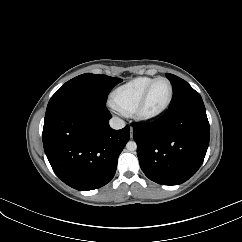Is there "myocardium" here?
Masks as SVG:
<instances>
[{
    "label": "myocardium",
    "mask_w": 242,
    "mask_h": 242,
    "mask_svg": "<svg viewBox=\"0 0 242 242\" xmlns=\"http://www.w3.org/2000/svg\"><path fill=\"white\" fill-rule=\"evenodd\" d=\"M160 80H164L168 83L169 88H170L169 97H168L166 103L161 108H159L158 110L153 111V112H146L145 111V105H146L149 93H150L152 87L154 86V84L157 81H160ZM173 96H174V88H173L172 82L168 78L163 77V76L156 77L149 83V85L144 90L140 99L136 103L132 114L138 120H142V121L154 120V119L160 117L169 108V106L172 102Z\"/></svg>",
    "instance_id": "1"
}]
</instances>
